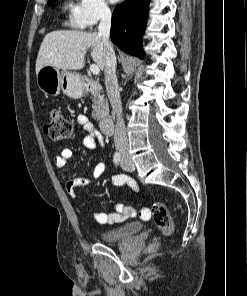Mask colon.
I'll list each match as a JSON object with an SVG mask.
<instances>
[{"instance_id": "5ec220e1", "label": "colon", "mask_w": 247, "mask_h": 296, "mask_svg": "<svg viewBox=\"0 0 247 296\" xmlns=\"http://www.w3.org/2000/svg\"><path fill=\"white\" fill-rule=\"evenodd\" d=\"M72 124L65 117L62 110L52 109L49 120L44 128L45 134L52 140H63L72 135ZM143 218L152 216L157 229L163 235H169L173 231V221L167 205L163 202H155L148 213L141 214ZM159 246L158 240H155L148 247L150 252L155 251Z\"/></svg>"}]
</instances>
